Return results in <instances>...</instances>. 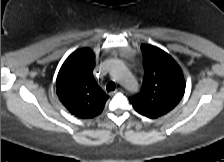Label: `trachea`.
I'll list each match as a JSON object with an SVG mask.
<instances>
[{"label":"trachea","instance_id":"obj_1","mask_svg":"<svg viewBox=\"0 0 224 162\" xmlns=\"http://www.w3.org/2000/svg\"><path fill=\"white\" fill-rule=\"evenodd\" d=\"M115 88H116V85L112 81L108 82V84L106 85V89H107L108 92L114 91Z\"/></svg>","mask_w":224,"mask_h":162}]
</instances>
